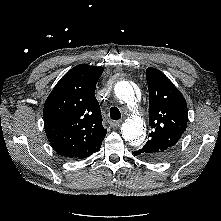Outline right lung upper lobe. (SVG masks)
<instances>
[{"label":"right lung upper lobe","instance_id":"obj_1","mask_svg":"<svg viewBox=\"0 0 221 221\" xmlns=\"http://www.w3.org/2000/svg\"><path fill=\"white\" fill-rule=\"evenodd\" d=\"M102 67L80 64L69 70L48 96L43 116L53 149L68 158H86L100 150L107 130L95 98Z\"/></svg>","mask_w":221,"mask_h":221}]
</instances>
